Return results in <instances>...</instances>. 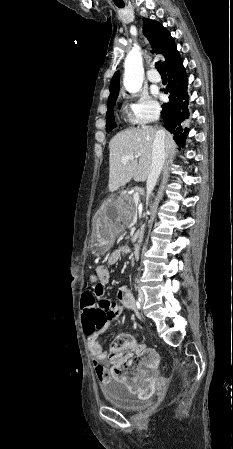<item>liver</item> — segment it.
<instances>
[{
  "instance_id": "1",
  "label": "liver",
  "mask_w": 233,
  "mask_h": 449,
  "mask_svg": "<svg viewBox=\"0 0 233 449\" xmlns=\"http://www.w3.org/2000/svg\"><path fill=\"white\" fill-rule=\"evenodd\" d=\"M162 131L165 134V148L170 155H173L175 153L173 137L167 131ZM156 133L154 127L142 125L121 131L111 139L108 183L110 192H115L132 178L136 181H145L148 178ZM129 154H133L135 158L122 163V158Z\"/></svg>"
}]
</instances>
